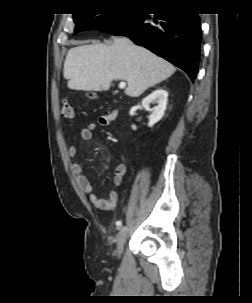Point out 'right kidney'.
<instances>
[{
  "instance_id": "right-kidney-1",
  "label": "right kidney",
  "mask_w": 252,
  "mask_h": 303,
  "mask_svg": "<svg viewBox=\"0 0 252 303\" xmlns=\"http://www.w3.org/2000/svg\"><path fill=\"white\" fill-rule=\"evenodd\" d=\"M167 98L168 92L164 89L159 88L142 100V106L150 112L148 123L149 127H152L162 119L166 110ZM152 102L157 103V106H155L153 109H150L149 105ZM132 128L135 130L136 126L132 125Z\"/></svg>"
}]
</instances>
